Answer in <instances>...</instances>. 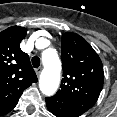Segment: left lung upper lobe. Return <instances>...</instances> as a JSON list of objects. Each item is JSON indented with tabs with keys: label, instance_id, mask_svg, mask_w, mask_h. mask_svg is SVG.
I'll list each match as a JSON object with an SVG mask.
<instances>
[{
	"label": "left lung upper lobe",
	"instance_id": "left-lung-upper-lobe-1",
	"mask_svg": "<svg viewBox=\"0 0 117 117\" xmlns=\"http://www.w3.org/2000/svg\"><path fill=\"white\" fill-rule=\"evenodd\" d=\"M63 79L53 96L76 107L83 113L97 101L103 88V65L98 54L80 35H62Z\"/></svg>",
	"mask_w": 117,
	"mask_h": 117
}]
</instances>
